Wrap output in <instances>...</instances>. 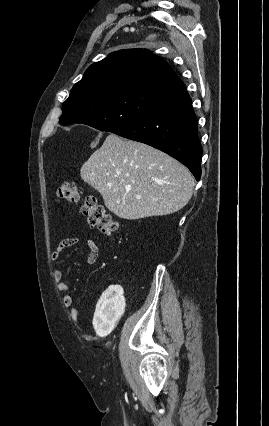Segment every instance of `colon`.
<instances>
[{
    "label": "colon",
    "mask_w": 269,
    "mask_h": 426,
    "mask_svg": "<svg viewBox=\"0 0 269 426\" xmlns=\"http://www.w3.org/2000/svg\"><path fill=\"white\" fill-rule=\"evenodd\" d=\"M58 196L60 199L71 203L78 202L80 199L77 187L73 181H64L58 188ZM80 211L88 223L98 228L103 234L111 235L117 231V222L106 212L96 197H85Z\"/></svg>",
    "instance_id": "5ec220e1"
}]
</instances>
